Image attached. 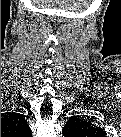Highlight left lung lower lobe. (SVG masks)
I'll return each instance as SVG.
<instances>
[{
    "label": "left lung lower lobe",
    "mask_w": 121,
    "mask_h": 137,
    "mask_svg": "<svg viewBox=\"0 0 121 137\" xmlns=\"http://www.w3.org/2000/svg\"><path fill=\"white\" fill-rule=\"evenodd\" d=\"M69 133L68 132H64V135H68Z\"/></svg>",
    "instance_id": "left-lung-lower-lobe-1"
}]
</instances>
